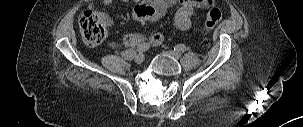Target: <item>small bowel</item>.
Instances as JSON below:
<instances>
[{
	"label": "small bowel",
	"mask_w": 303,
	"mask_h": 127,
	"mask_svg": "<svg viewBox=\"0 0 303 127\" xmlns=\"http://www.w3.org/2000/svg\"><path fill=\"white\" fill-rule=\"evenodd\" d=\"M115 0H101L104 6L111 5ZM121 2L133 1L135 7L133 9L134 18L145 24L154 22L165 16L169 8L179 4L174 15V24L180 30H187L192 25V15L196 8H206L214 4L213 0H120ZM93 7L92 4L89 5ZM148 10V11H146ZM102 19L106 24L111 23V19L106 14H102ZM163 41V35L159 32L150 33L148 35L142 33H129L121 42L111 41L109 47H132L142 43H147L152 46H158Z\"/></svg>",
	"instance_id": "obj_1"
}]
</instances>
